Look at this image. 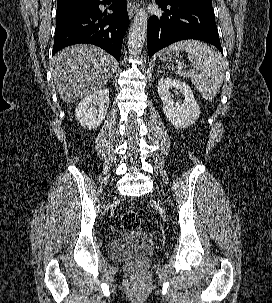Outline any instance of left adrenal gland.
Wrapping results in <instances>:
<instances>
[{
    "mask_svg": "<svg viewBox=\"0 0 272 303\" xmlns=\"http://www.w3.org/2000/svg\"><path fill=\"white\" fill-rule=\"evenodd\" d=\"M161 71H160V67H158V69H157V73H160Z\"/></svg>",
    "mask_w": 272,
    "mask_h": 303,
    "instance_id": "a2214340",
    "label": "left adrenal gland"
}]
</instances>
